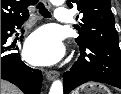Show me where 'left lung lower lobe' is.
I'll list each match as a JSON object with an SVG mask.
<instances>
[{
  "label": "left lung lower lobe",
  "instance_id": "left-lung-lower-lobe-1",
  "mask_svg": "<svg viewBox=\"0 0 121 94\" xmlns=\"http://www.w3.org/2000/svg\"><path fill=\"white\" fill-rule=\"evenodd\" d=\"M80 57L63 74L64 94L89 81L106 83L121 89V50L101 43L80 47Z\"/></svg>",
  "mask_w": 121,
  "mask_h": 94
}]
</instances>
